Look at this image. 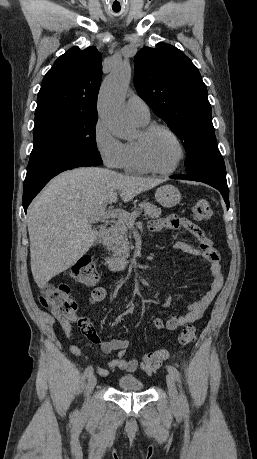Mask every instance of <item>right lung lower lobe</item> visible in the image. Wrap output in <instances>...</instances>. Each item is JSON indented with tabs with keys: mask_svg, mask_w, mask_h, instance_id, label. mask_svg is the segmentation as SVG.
<instances>
[{
	"mask_svg": "<svg viewBox=\"0 0 257 459\" xmlns=\"http://www.w3.org/2000/svg\"><path fill=\"white\" fill-rule=\"evenodd\" d=\"M102 160L94 159L76 151H55L30 156L23 187V208L26 212L32 199L59 173L80 166L102 165Z\"/></svg>",
	"mask_w": 257,
	"mask_h": 459,
	"instance_id": "1",
	"label": "right lung lower lobe"
}]
</instances>
